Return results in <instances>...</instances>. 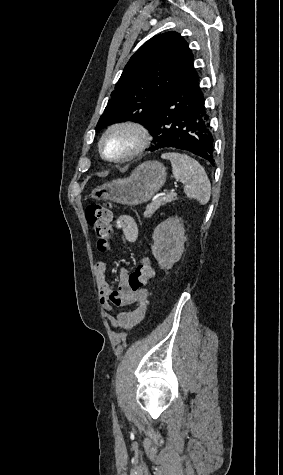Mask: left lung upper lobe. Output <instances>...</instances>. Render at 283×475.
Wrapping results in <instances>:
<instances>
[{
	"label": "left lung upper lobe",
	"instance_id": "left-lung-upper-lobe-1",
	"mask_svg": "<svg viewBox=\"0 0 283 475\" xmlns=\"http://www.w3.org/2000/svg\"><path fill=\"white\" fill-rule=\"evenodd\" d=\"M194 71L193 54L182 36L177 32L154 36L128 61L96 131L126 120L146 127L164 96Z\"/></svg>",
	"mask_w": 283,
	"mask_h": 475
}]
</instances>
